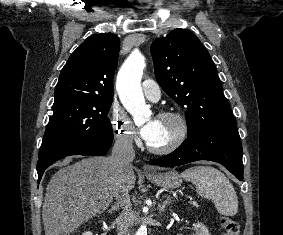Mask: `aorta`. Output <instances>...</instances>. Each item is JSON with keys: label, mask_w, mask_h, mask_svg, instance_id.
Here are the masks:
<instances>
[{"label": "aorta", "mask_w": 283, "mask_h": 235, "mask_svg": "<svg viewBox=\"0 0 283 235\" xmlns=\"http://www.w3.org/2000/svg\"><path fill=\"white\" fill-rule=\"evenodd\" d=\"M144 67L145 57L138 52H132L121 66L116 81L120 100L135 123L145 121L151 114L140 85ZM135 235H147L146 225H141Z\"/></svg>", "instance_id": "762f6f07"}]
</instances>
